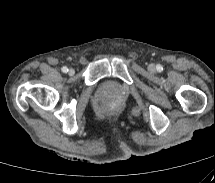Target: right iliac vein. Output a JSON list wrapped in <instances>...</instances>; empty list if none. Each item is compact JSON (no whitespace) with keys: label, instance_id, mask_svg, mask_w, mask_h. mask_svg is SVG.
Masks as SVG:
<instances>
[{"label":"right iliac vein","instance_id":"1","mask_svg":"<svg viewBox=\"0 0 215 183\" xmlns=\"http://www.w3.org/2000/svg\"><path fill=\"white\" fill-rule=\"evenodd\" d=\"M68 74L70 76H73L75 74V70L74 69H69Z\"/></svg>","mask_w":215,"mask_h":183}]
</instances>
